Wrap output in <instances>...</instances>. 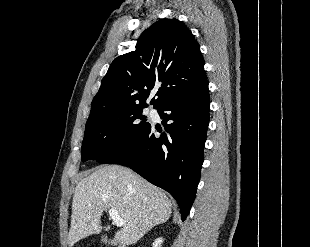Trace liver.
Returning a JSON list of instances; mask_svg holds the SVG:
<instances>
[{"mask_svg":"<svg viewBox=\"0 0 310 247\" xmlns=\"http://www.w3.org/2000/svg\"><path fill=\"white\" fill-rule=\"evenodd\" d=\"M111 208L124 221L115 239L126 245L135 244L154 226L166 222L172 213V203L162 190L128 168L102 166L75 188L69 247L99 233L102 213Z\"/></svg>","mask_w":310,"mask_h":247,"instance_id":"6515ba94","label":"liver"}]
</instances>
